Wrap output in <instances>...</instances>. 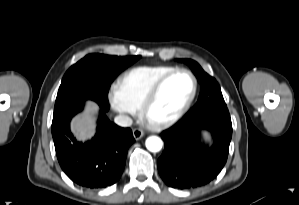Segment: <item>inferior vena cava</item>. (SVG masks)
Here are the masks:
<instances>
[{
    "label": "inferior vena cava",
    "instance_id": "1",
    "mask_svg": "<svg viewBox=\"0 0 299 205\" xmlns=\"http://www.w3.org/2000/svg\"><path fill=\"white\" fill-rule=\"evenodd\" d=\"M115 123L121 127H129L132 125L133 121L129 116L118 115L114 119Z\"/></svg>",
    "mask_w": 299,
    "mask_h": 205
}]
</instances>
